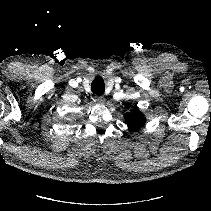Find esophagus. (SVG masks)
I'll return each mask as SVG.
<instances>
[{
  "instance_id": "1",
  "label": "esophagus",
  "mask_w": 211,
  "mask_h": 211,
  "mask_svg": "<svg viewBox=\"0 0 211 211\" xmlns=\"http://www.w3.org/2000/svg\"><path fill=\"white\" fill-rule=\"evenodd\" d=\"M95 100L101 104L105 103V98L103 96H95Z\"/></svg>"
}]
</instances>
